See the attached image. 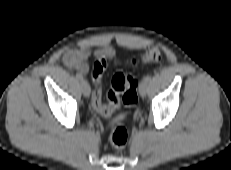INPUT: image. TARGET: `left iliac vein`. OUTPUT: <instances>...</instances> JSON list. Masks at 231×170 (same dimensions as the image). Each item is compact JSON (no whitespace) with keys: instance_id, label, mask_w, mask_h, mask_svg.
Returning <instances> with one entry per match:
<instances>
[{"instance_id":"1","label":"left iliac vein","mask_w":231,"mask_h":170,"mask_svg":"<svg viewBox=\"0 0 231 170\" xmlns=\"http://www.w3.org/2000/svg\"><path fill=\"white\" fill-rule=\"evenodd\" d=\"M148 82L143 79L139 84V94L141 97H145L147 94Z\"/></svg>"}]
</instances>
